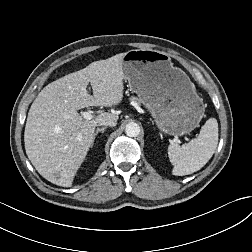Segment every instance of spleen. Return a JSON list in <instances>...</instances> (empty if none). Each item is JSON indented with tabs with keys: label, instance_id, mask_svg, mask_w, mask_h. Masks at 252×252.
<instances>
[{
	"label": "spleen",
	"instance_id": "obj_1",
	"mask_svg": "<svg viewBox=\"0 0 252 252\" xmlns=\"http://www.w3.org/2000/svg\"><path fill=\"white\" fill-rule=\"evenodd\" d=\"M218 144V123L210 118L202 126L197 138L182 146L172 143L168 156L173 175L183 176L200 170L213 156Z\"/></svg>",
	"mask_w": 252,
	"mask_h": 252
}]
</instances>
